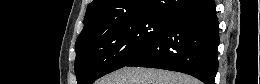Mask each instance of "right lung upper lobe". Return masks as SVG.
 Segmentation results:
<instances>
[{"label":"right lung upper lobe","mask_w":260,"mask_h":84,"mask_svg":"<svg viewBox=\"0 0 260 84\" xmlns=\"http://www.w3.org/2000/svg\"><path fill=\"white\" fill-rule=\"evenodd\" d=\"M196 0H93L87 7L84 29L76 45L92 40L102 31L125 19L145 16H169L183 10Z\"/></svg>","instance_id":"obj_1"}]
</instances>
